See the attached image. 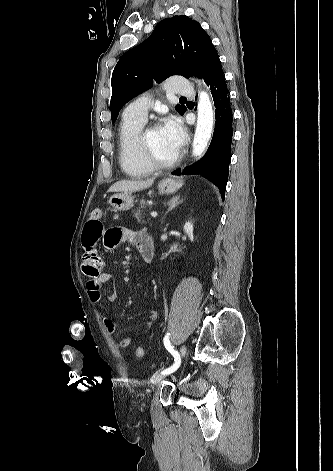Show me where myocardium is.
<instances>
[{"mask_svg":"<svg viewBox=\"0 0 333 471\" xmlns=\"http://www.w3.org/2000/svg\"><path fill=\"white\" fill-rule=\"evenodd\" d=\"M158 128V126H153L151 129ZM146 133V132H145ZM145 133L140 134L139 137V147L144 156L145 160L154 168V169H169L174 167L179 159L180 155L177 154L173 159L169 161H162L158 159L148 148L146 141H145Z\"/></svg>","mask_w":333,"mask_h":471,"instance_id":"f54148a6","label":"myocardium"}]
</instances>
